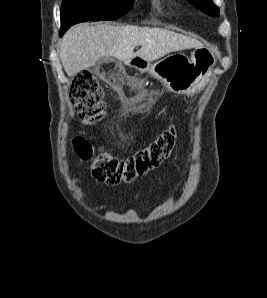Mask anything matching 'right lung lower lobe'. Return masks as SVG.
<instances>
[{"label":"right lung lower lobe","mask_w":267,"mask_h":298,"mask_svg":"<svg viewBox=\"0 0 267 298\" xmlns=\"http://www.w3.org/2000/svg\"><path fill=\"white\" fill-rule=\"evenodd\" d=\"M65 32V29L61 28L60 35H62Z\"/></svg>","instance_id":"1"}]
</instances>
